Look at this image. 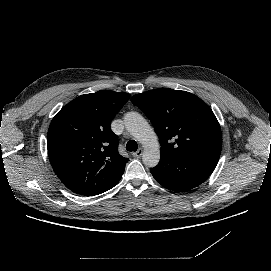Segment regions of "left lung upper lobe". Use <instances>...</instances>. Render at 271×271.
<instances>
[{
  "label": "left lung upper lobe",
  "instance_id": "1",
  "mask_svg": "<svg viewBox=\"0 0 271 271\" xmlns=\"http://www.w3.org/2000/svg\"><path fill=\"white\" fill-rule=\"evenodd\" d=\"M150 119L161 152L218 162L222 133L211 108L186 91L158 88L132 97Z\"/></svg>",
  "mask_w": 271,
  "mask_h": 271
}]
</instances>
